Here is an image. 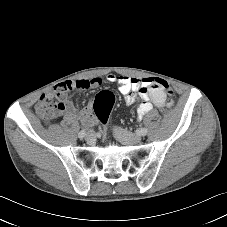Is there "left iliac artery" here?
<instances>
[{
	"label": "left iliac artery",
	"mask_w": 227,
	"mask_h": 227,
	"mask_svg": "<svg viewBox=\"0 0 227 227\" xmlns=\"http://www.w3.org/2000/svg\"><path fill=\"white\" fill-rule=\"evenodd\" d=\"M140 134H141L142 136H145V135L147 134V129H146V128H141V129H140Z\"/></svg>",
	"instance_id": "obj_1"
}]
</instances>
